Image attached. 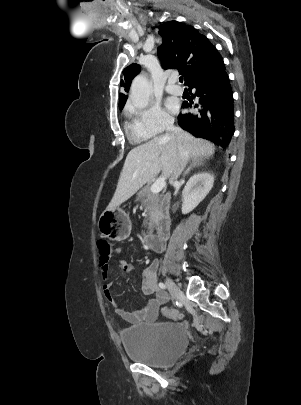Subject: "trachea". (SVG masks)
Here are the masks:
<instances>
[{
    "mask_svg": "<svg viewBox=\"0 0 301 405\" xmlns=\"http://www.w3.org/2000/svg\"><path fill=\"white\" fill-rule=\"evenodd\" d=\"M179 81L182 83V82H183V77H180V78H179Z\"/></svg>",
    "mask_w": 301,
    "mask_h": 405,
    "instance_id": "obj_1",
    "label": "trachea"
}]
</instances>
